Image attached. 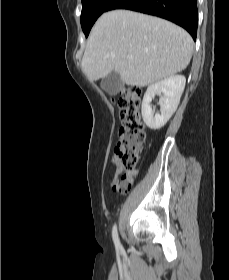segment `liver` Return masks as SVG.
<instances>
[{"instance_id":"1","label":"liver","mask_w":229,"mask_h":280,"mask_svg":"<svg viewBox=\"0 0 229 280\" xmlns=\"http://www.w3.org/2000/svg\"><path fill=\"white\" fill-rule=\"evenodd\" d=\"M192 52L193 40L181 27L157 17L114 10L96 21L81 65L90 81L115 71L125 84L145 87L184 70Z\"/></svg>"}]
</instances>
